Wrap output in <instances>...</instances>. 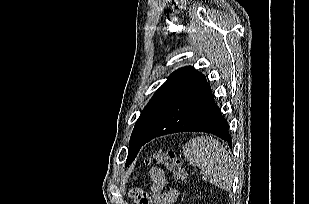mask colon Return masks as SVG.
I'll list each match as a JSON object with an SVG mask.
<instances>
[{
    "label": "colon",
    "instance_id": "5ec220e1",
    "mask_svg": "<svg viewBox=\"0 0 309 204\" xmlns=\"http://www.w3.org/2000/svg\"><path fill=\"white\" fill-rule=\"evenodd\" d=\"M147 163L152 165H161L167 168L172 173L173 178L176 181H181L185 177V171L173 150L159 149L149 157ZM136 201L137 204H148V199L142 195H139Z\"/></svg>",
    "mask_w": 309,
    "mask_h": 204
}]
</instances>
